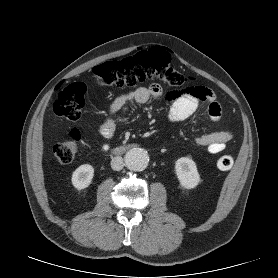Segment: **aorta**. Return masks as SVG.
Masks as SVG:
<instances>
[{
    "label": "aorta",
    "mask_w": 278,
    "mask_h": 278,
    "mask_svg": "<svg viewBox=\"0 0 278 278\" xmlns=\"http://www.w3.org/2000/svg\"><path fill=\"white\" fill-rule=\"evenodd\" d=\"M149 156L147 151L141 148H132L125 155V163L132 171H143L147 168Z\"/></svg>",
    "instance_id": "762f6f07"
}]
</instances>
